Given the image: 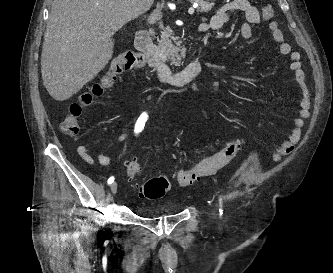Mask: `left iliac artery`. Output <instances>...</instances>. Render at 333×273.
I'll return each instance as SVG.
<instances>
[{
	"label": "left iliac artery",
	"mask_w": 333,
	"mask_h": 273,
	"mask_svg": "<svg viewBox=\"0 0 333 273\" xmlns=\"http://www.w3.org/2000/svg\"><path fill=\"white\" fill-rule=\"evenodd\" d=\"M220 204H221V199H220ZM222 211H223L222 209H219L220 216L223 214V212H222Z\"/></svg>",
	"instance_id": "left-iliac-artery-1"
}]
</instances>
